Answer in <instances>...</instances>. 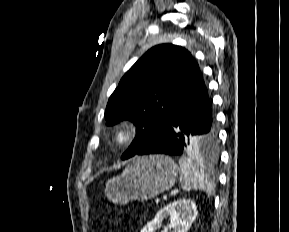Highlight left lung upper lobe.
<instances>
[{
	"mask_svg": "<svg viewBox=\"0 0 289 232\" xmlns=\"http://www.w3.org/2000/svg\"><path fill=\"white\" fill-rule=\"evenodd\" d=\"M200 76L191 54L172 44L151 48L129 69L105 110L108 125L129 119L137 126L136 137L122 159L134 156L167 126L173 111ZM216 149L217 138L204 151Z\"/></svg>",
	"mask_w": 289,
	"mask_h": 232,
	"instance_id": "obj_1",
	"label": "left lung upper lobe"
}]
</instances>
